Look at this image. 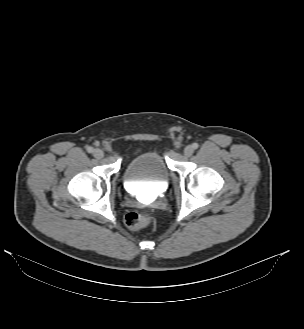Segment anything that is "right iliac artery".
<instances>
[{
  "mask_svg": "<svg viewBox=\"0 0 304 329\" xmlns=\"http://www.w3.org/2000/svg\"><path fill=\"white\" fill-rule=\"evenodd\" d=\"M93 151H94V150H93L92 147H88V148H87V152H88V153H92Z\"/></svg>",
  "mask_w": 304,
  "mask_h": 329,
  "instance_id": "obj_1",
  "label": "right iliac artery"
}]
</instances>
